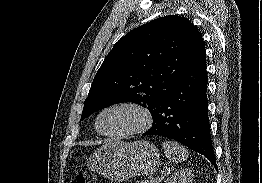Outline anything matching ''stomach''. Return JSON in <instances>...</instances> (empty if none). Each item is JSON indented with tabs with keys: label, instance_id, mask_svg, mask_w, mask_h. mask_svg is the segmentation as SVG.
Returning <instances> with one entry per match:
<instances>
[{
	"label": "stomach",
	"instance_id": "0dacf381",
	"mask_svg": "<svg viewBox=\"0 0 262 183\" xmlns=\"http://www.w3.org/2000/svg\"><path fill=\"white\" fill-rule=\"evenodd\" d=\"M160 164L157 148L148 141L111 140L98 148L87 161L89 170L123 182L133 176L154 173Z\"/></svg>",
	"mask_w": 262,
	"mask_h": 183
}]
</instances>
